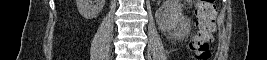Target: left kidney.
<instances>
[{
	"instance_id": "5707ae66",
	"label": "left kidney",
	"mask_w": 267,
	"mask_h": 60,
	"mask_svg": "<svg viewBox=\"0 0 267 60\" xmlns=\"http://www.w3.org/2000/svg\"><path fill=\"white\" fill-rule=\"evenodd\" d=\"M158 27L162 31H170L179 20L183 19L182 5L178 1L166 0L163 7L155 14Z\"/></svg>"
}]
</instances>
